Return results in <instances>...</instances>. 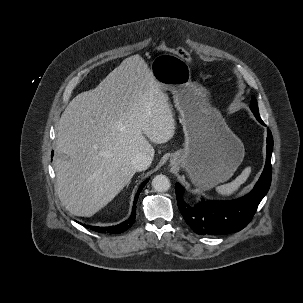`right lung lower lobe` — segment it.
<instances>
[{"mask_svg":"<svg viewBox=\"0 0 303 303\" xmlns=\"http://www.w3.org/2000/svg\"><path fill=\"white\" fill-rule=\"evenodd\" d=\"M53 155V153H52ZM148 182V180L144 181L139 189H138V192L135 196V199H134V204H133V208H132V213H131V216L128 220L122 222L121 224L119 225H116V226H110V227H97V226H89V225H84L86 228H90L91 230H94L96 232H99V233H114V234H119V233H122L124 231H126L127 229H129L135 222V218H136V199L138 198L139 196V193L141 192V190L143 189V187L146 185V183Z\"/></svg>","mask_w":303,"mask_h":303,"instance_id":"right-lung-lower-lobe-1","label":"right lung lower lobe"}]
</instances>
